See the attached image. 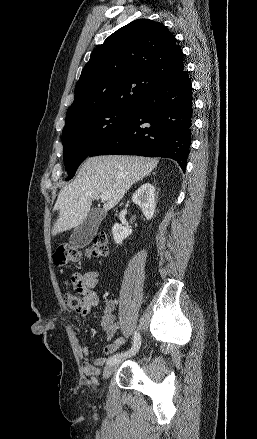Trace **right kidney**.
<instances>
[{
  "label": "right kidney",
  "instance_id": "1",
  "mask_svg": "<svg viewBox=\"0 0 257 439\" xmlns=\"http://www.w3.org/2000/svg\"><path fill=\"white\" fill-rule=\"evenodd\" d=\"M132 201L138 205L147 220L153 218L155 212V187L150 183L141 185L133 194ZM113 238L117 244H122L123 240L132 234V229L128 225L115 223L112 228Z\"/></svg>",
  "mask_w": 257,
  "mask_h": 439
}]
</instances>
